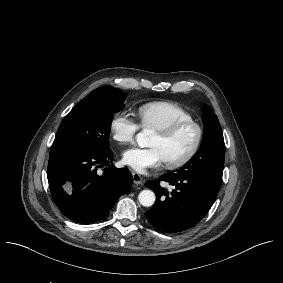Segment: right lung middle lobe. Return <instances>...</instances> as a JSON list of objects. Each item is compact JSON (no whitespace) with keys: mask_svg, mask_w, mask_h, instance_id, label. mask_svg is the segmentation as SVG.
Segmentation results:
<instances>
[{"mask_svg":"<svg viewBox=\"0 0 283 283\" xmlns=\"http://www.w3.org/2000/svg\"><path fill=\"white\" fill-rule=\"evenodd\" d=\"M125 97L112 87L89 93L61 122L50 152L68 149L109 152L113 115L123 109Z\"/></svg>","mask_w":283,"mask_h":283,"instance_id":"right-lung-middle-lobe-1","label":"right lung middle lobe"}]
</instances>
